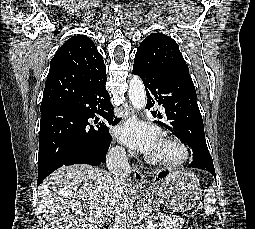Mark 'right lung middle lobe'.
Returning <instances> with one entry per match:
<instances>
[{
	"instance_id": "obj_1",
	"label": "right lung middle lobe",
	"mask_w": 255,
	"mask_h": 229,
	"mask_svg": "<svg viewBox=\"0 0 255 229\" xmlns=\"http://www.w3.org/2000/svg\"><path fill=\"white\" fill-rule=\"evenodd\" d=\"M82 130V120L73 114L41 122L38 164L52 167L61 163Z\"/></svg>"
}]
</instances>
